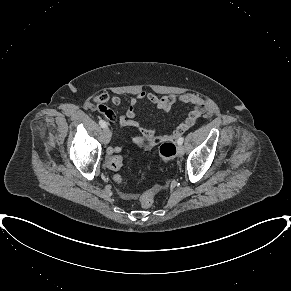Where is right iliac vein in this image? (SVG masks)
I'll return each mask as SVG.
<instances>
[{
	"label": "right iliac vein",
	"mask_w": 291,
	"mask_h": 291,
	"mask_svg": "<svg viewBox=\"0 0 291 291\" xmlns=\"http://www.w3.org/2000/svg\"><path fill=\"white\" fill-rule=\"evenodd\" d=\"M103 139H104V143H109L110 139H111V131L108 127H105L104 128V131H103Z\"/></svg>",
	"instance_id": "right-iliac-vein-1"
}]
</instances>
